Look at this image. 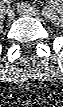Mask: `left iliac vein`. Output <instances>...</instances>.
I'll return each mask as SVG.
<instances>
[{"instance_id":"obj_1","label":"left iliac vein","mask_w":63,"mask_h":107,"mask_svg":"<svg viewBox=\"0 0 63 107\" xmlns=\"http://www.w3.org/2000/svg\"><path fill=\"white\" fill-rule=\"evenodd\" d=\"M18 12L25 16H33L37 18L38 20H42V17L39 13V11L27 4H19L18 5Z\"/></svg>"}]
</instances>
